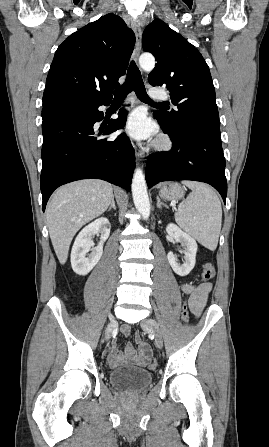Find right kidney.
I'll return each instance as SVG.
<instances>
[{"instance_id": "1", "label": "right kidney", "mask_w": 269, "mask_h": 447, "mask_svg": "<svg viewBox=\"0 0 269 447\" xmlns=\"http://www.w3.org/2000/svg\"><path fill=\"white\" fill-rule=\"evenodd\" d=\"M111 224L107 218H98L79 231L71 251V265L75 273L86 275L98 263L103 253V243L110 235ZM92 235H100V241L92 253H87L94 245ZM88 255V257H86Z\"/></svg>"}]
</instances>
